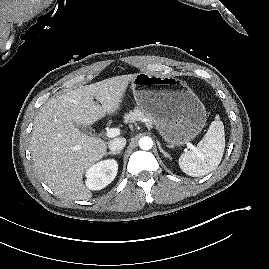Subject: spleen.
Returning <instances> with one entry per match:
<instances>
[{"mask_svg":"<svg viewBox=\"0 0 269 269\" xmlns=\"http://www.w3.org/2000/svg\"><path fill=\"white\" fill-rule=\"evenodd\" d=\"M224 149V125L217 115L197 147L180 156L179 166L189 176H204L218 167Z\"/></svg>","mask_w":269,"mask_h":269,"instance_id":"obj_1","label":"spleen"}]
</instances>
